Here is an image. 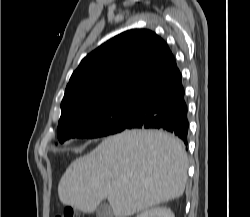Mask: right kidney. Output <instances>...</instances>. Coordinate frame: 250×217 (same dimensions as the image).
<instances>
[{"mask_svg":"<svg viewBox=\"0 0 250 217\" xmlns=\"http://www.w3.org/2000/svg\"><path fill=\"white\" fill-rule=\"evenodd\" d=\"M137 217H175L170 208L157 206L143 211Z\"/></svg>","mask_w":250,"mask_h":217,"instance_id":"ca27d5eb","label":"right kidney"}]
</instances>
